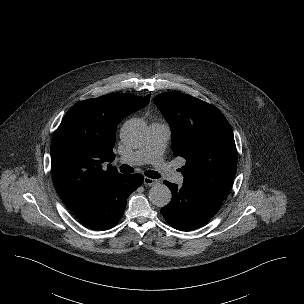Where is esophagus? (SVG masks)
I'll list each match as a JSON object with an SVG mask.
<instances>
[{
    "mask_svg": "<svg viewBox=\"0 0 304 304\" xmlns=\"http://www.w3.org/2000/svg\"><path fill=\"white\" fill-rule=\"evenodd\" d=\"M158 183H159V181L156 180V179H152V178H149V177H144V184L145 185L154 186Z\"/></svg>",
    "mask_w": 304,
    "mask_h": 304,
    "instance_id": "34e87169",
    "label": "esophagus"
}]
</instances>
